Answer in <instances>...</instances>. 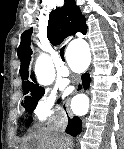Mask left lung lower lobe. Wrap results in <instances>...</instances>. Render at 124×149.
Here are the masks:
<instances>
[{
	"instance_id": "1",
	"label": "left lung lower lobe",
	"mask_w": 124,
	"mask_h": 149,
	"mask_svg": "<svg viewBox=\"0 0 124 149\" xmlns=\"http://www.w3.org/2000/svg\"><path fill=\"white\" fill-rule=\"evenodd\" d=\"M82 83H83V87L84 89H87L89 84H90V77L89 74H84L82 76Z\"/></svg>"
}]
</instances>
